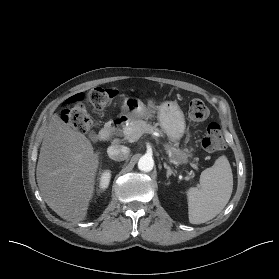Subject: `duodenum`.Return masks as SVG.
<instances>
[{"instance_id": "410a0bca", "label": "duodenum", "mask_w": 279, "mask_h": 279, "mask_svg": "<svg viewBox=\"0 0 279 279\" xmlns=\"http://www.w3.org/2000/svg\"><path fill=\"white\" fill-rule=\"evenodd\" d=\"M121 119H113L105 125L99 132L98 140H109L113 133L122 125Z\"/></svg>"}]
</instances>
